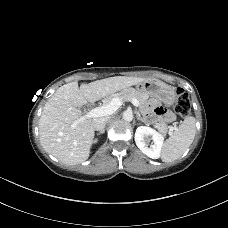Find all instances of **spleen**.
Instances as JSON below:
<instances>
[{"label":"spleen","instance_id":"3e777b00","mask_svg":"<svg viewBox=\"0 0 228 228\" xmlns=\"http://www.w3.org/2000/svg\"><path fill=\"white\" fill-rule=\"evenodd\" d=\"M196 120L192 116L184 119L181 125L166 140L161 158L163 162H173L180 158L192 144L196 134Z\"/></svg>","mask_w":228,"mask_h":228}]
</instances>
